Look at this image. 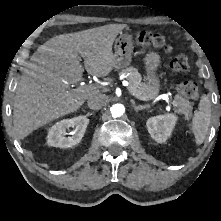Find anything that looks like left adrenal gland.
I'll use <instances>...</instances> for the list:
<instances>
[{
	"label": "left adrenal gland",
	"mask_w": 221,
	"mask_h": 221,
	"mask_svg": "<svg viewBox=\"0 0 221 221\" xmlns=\"http://www.w3.org/2000/svg\"><path fill=\"white\" fill-rule=\"evenodd\" d=\"M132 107L134 108V110L136 112H138L139 110H143L146 108L145 105H136V103L134 101H132Z\"/></svg>",
	"instance_id": "left-adrenal-gland-1"
}]
</instances>
